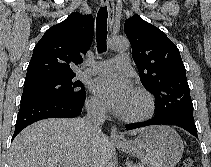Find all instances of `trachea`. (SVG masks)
<instances>
[{
	"instance_id": "obj_1",
	"label": "trachea",
	"mask_w": 211,
	"mask_h": 167,
	"mask_svg": "<svg viewBox=\"0 0 211 167\" xmlns=\"http://www.w3.org/2000/svg\"><path fill=\"white\" fill-rule=\"evenodd\" d=\"M107 7H101L96 18V35H97V50L98 53L105 52L107 49Z\"/></svg>"
}]
</instances>
